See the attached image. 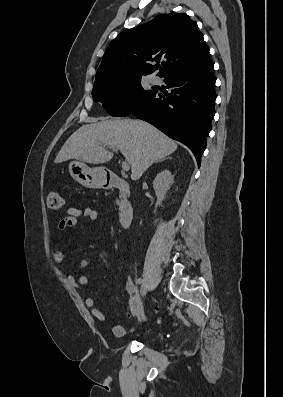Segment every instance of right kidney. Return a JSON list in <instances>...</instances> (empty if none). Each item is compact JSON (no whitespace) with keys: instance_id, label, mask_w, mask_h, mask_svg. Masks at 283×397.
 Segmentation results:
<instances>
[{"instance_id":"right-kidney-1","label":"right kidney","mask_w":283,"mask_h":397,"mask_svg":"<svg viewBox=\"0 0 283 397\" xmlns=\"http://www.w3.org/2000/svg\"><path fill=\"white\" fill-rule=\"evenodd\" d=\"M172 183H173V176H172L171 172L167 169L161 171L155 177V179L153 181V188H154L155 194L157 196V202L155 205L154 212H156V208L164 200L166 193L170 189V186Z\"/></svg>"}]
</instances>
